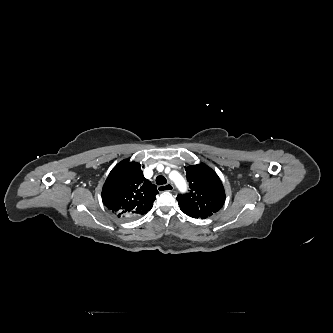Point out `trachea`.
<instances>
[{"instance_id":"obj_1","label":"trachea","mask_w":333,"mask_h":333,"mask_svg":"<svg viewBox=\"0 0 333 333\" xmlns=\"http://www.w3.org/2000/svg\"><path fill=\"white\" fill-rule=\"evenodd\" d=\"M167 183V180L164 176L160 175L156 178V184L157 185H163V184H166Z\"/></svg>"}]
</instances>
